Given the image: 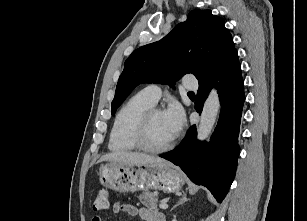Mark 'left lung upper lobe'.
<instances>
[{
	"mask_svg": "<svg viewBox=\"0 0 307 221\" xmlns=\"http://www.w3.org/2000/svg\"><path fill=\"white\" fill-rule=\"evenodd\" d=\"M235 52L224 19L213 15L211 10H193L166 37L136 49L128 57L112 101V115L137 85H174L187 73L202 82L213 76Z\"/></svg>",
	"mask_w": 307,
	"mask_h": 221,
	"instance_id": "left-lung-upper-lobe-1",
	"label": "left lung upper lobe"
}]
</instances>
